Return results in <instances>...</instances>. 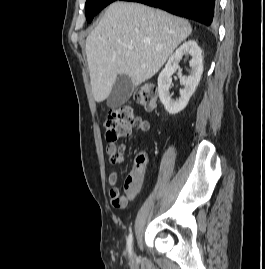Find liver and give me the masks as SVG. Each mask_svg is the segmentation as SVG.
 I'll use <instances>...</instances> for the list:
<instances>
[{
	"instance_id": "1",
	"label": "liver",
	"mask_w": 265,
	"mask_h": 269,
	"mask_svg": "<svg viewBox=\"0 0 265 269\" xmlns=\"http://www.w3.org/2000/svg\"><path fill=\"white\" fill-rule=\"evenodd\" d=\"M191 32L187 20L159 9L127 2L109 5L86 39L95 101L109 97L118 75L128 76L134 86L153 77Z\"/></svg>"
}]
</instances>
